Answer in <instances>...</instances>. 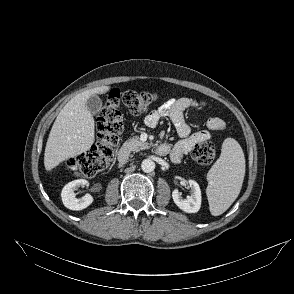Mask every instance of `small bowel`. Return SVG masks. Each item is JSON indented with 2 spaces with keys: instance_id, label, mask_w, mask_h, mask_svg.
Wrapping results in <instances>:
<instances>
[{
  "instance_id": "small-bowel-1",
  "label": "small bowel",
  "mask_w": 294,
  "mask_h": 294,
  "mask_svg": "<svg viewBox=\"0 0 294 294\" xmlns=\"http://www.w3.org/2000/svg\"><path fill=\"white\" fill-rule=\"evenodd\" d=\"M198 106L199 104L195 100L187 97L170 99L145 118V124L150 128L156 127L159 121L165 117L172 121L178 135L181 137V140L170 151V157L174 163H179L183 156L191 151L196 142L209 139L211 136L209 131L219 132L225 129V122L221 118L210 117L206 121L208 130L193 133L184 119V112L190 108H198Z\"/></svg>"
}]
</instances>
